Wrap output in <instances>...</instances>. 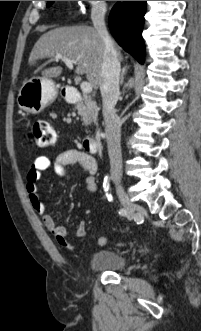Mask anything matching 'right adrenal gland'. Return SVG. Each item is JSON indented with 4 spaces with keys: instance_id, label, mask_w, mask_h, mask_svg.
Masks as SVG:
<instances>
[{
    "instance_id": "obj_1",
    "label": "right adrenal gland",
    "mask_w": 201,
    "mask_h": 331,
    "mask_svg": "<svg viewBox=\"0 0 201 331\" xmlns=\"http://www.w3.org/2000/svg\"><path fill=\"white\" fill-rule=\"evenodd\" d=\"M126 73V68H123L122 73H121V78H120V84L122 85L124 82V75Z\"/></svg>"
}]
</instances>
